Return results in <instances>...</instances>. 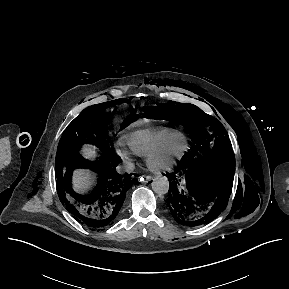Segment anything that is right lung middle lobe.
<instances>
[{
  "label": "right lung middle lobe",
  "mask_w": 289,
  "mask_h": 289,
  "mask_svg": "<svg viewBox=\"0 0 289 289\" xmlns=\"http://www.w3.org/2000/svg\"><path fill=\"white\" fill-rule=\"evenodd\" d=\"M122 102L129 103L130 99H117L90 106L68 125L57 148L55 163L57 179H63L66 172L70 170L72 160L79 154L78 145L93 144L102 152L109 149L107 146V139L110 136L108 126L114 112H107L106 109ZM138 117L139 115H135L134 110L122 123L121 129Z\"/></svg>",
  "instance_id": "dd1d6c3e"
}]
</instances>
